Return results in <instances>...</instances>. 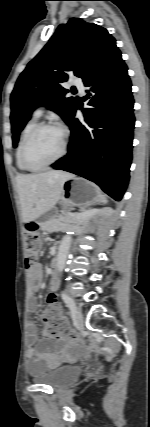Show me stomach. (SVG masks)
<instances>
[{
    "label": "stomach",
    "instance_id": "obj_1",
    "mask_svg": "<svg viewBox=\"0 0 150 427\" xmlns=\"http://www.w3.org/2000/svg\"><path fill=\"white\" fill-rule=\"evenodd\" d=\"M100 199L101 194L95 185L77 177H72L64 182L60 198L64 208L89 206ZM54 213V211H51V217H53ZM50 220H53V218Z\"/></svg>",
    "mask_w": 150,
    "mask_h": 427
}]
</instances>
